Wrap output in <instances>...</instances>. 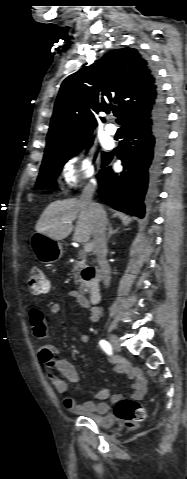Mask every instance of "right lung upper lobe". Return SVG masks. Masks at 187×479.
I'll return each instance as SVG.
<instances>
[{
	"mask_svg": "<svg viewBox=\"0 0 187 479\" xmlns=\"http://www.w3.org/2000/svg\"><path fill=\"white\" fill-rule=\"evenodd\" d=\"M160 94L155 72L136 49L110 51L63 81L45 151L74 144L91 134L97 126V113H108L113 104L118 107L121 123L128 113L151 105Z\"/></svg>",
	"mask_w": 187,
	"mask_h": 479,
	"instance_id": "1",
	"label": "right lung upper lobe"
}]
</instances>
